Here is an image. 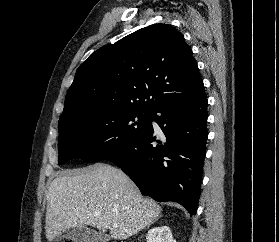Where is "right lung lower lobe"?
<instances>
[{
  "label": "right lung lower lobe",
  "instance_id": "right-lung-lower-lobe-1",
  "mask_svg": "<svg viewBox=\"0 0 279 242\" xmlns=\"http://www.w3.org/2000/svg\"><path fill=\"white\" fill-rule=\"evenodd\" d=\"M163 136L149 129L125 150L105 160L115 163L141 193L156 201H175L195 215L206 155L207 98L204 86L152 113Z\"/></svg>",
  "mask_w": 279,
  "mask_h": 242
}]
</instances>
